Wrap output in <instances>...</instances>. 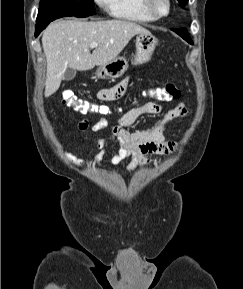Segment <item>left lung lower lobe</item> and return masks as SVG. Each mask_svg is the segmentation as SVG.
Listing matches in <instances>:
<instances>
[{"label":"left lung lower lobe","instance_id":"obj_1","mask_svg":"<svg viewBox=\"0 0 243 289\" xmlns=\"http://www.w3.org/2000/svg\"><path fill=\"white\" fill-rule=\"evenodd\" d=\"M178 35H180L184 40H186L188 43L193 44L189 34L187 33L186 29H171Z\"/></svg>","mask_w":243,"mask_h":289}]
</instances>
